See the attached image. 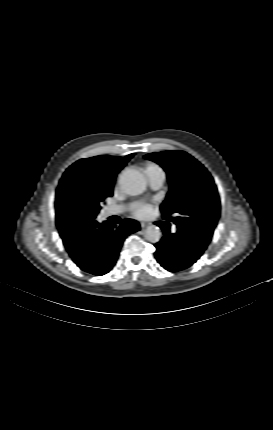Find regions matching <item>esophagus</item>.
Instances as JSON below:
<instances>
[{
    "label": "esophagus",
    "mask_w": 273,
    "mask_h": 430,
    "mask_svg": "<svg viewBox=\"0 0 273 430\" xmlns=\"http://www.w3.org/2000/svg\"><path fill=\"white\" fill-rule=\"evenodd\" d=\"M140 225H141V228H146V227L150 226L151 223H149V222H141Z\"/></svg>",
    "instance_id": "34e87169"
}]
</instances>
